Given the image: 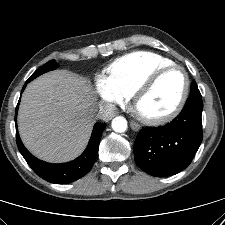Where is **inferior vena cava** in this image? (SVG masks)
I'll return each instance as SVG.
<instances>
[{"mask_svg":"<svg viewBox=\"0 0 225 225\" xmlns=\"http://www.w3.org/2000/svg\"><path fill=\"white\" fill-rule=\"evenodd\" d=\"M116 108L113 104H101L99 107V112L97 113V117L102 120H109L113 117Z\"/></svg>","mask_w":225,"mask_h":225,"instance_id":"1","label":"inferior vena cava"}]
</instances>
